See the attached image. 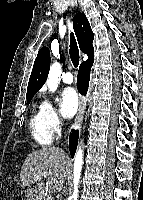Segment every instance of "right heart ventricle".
Masks as SVG:
<instances>
[{
	"label": "right heart ventricle",
	"mask_w": 143,
	"mask_h": 200,
	"mask_svg": "<svg viewBox=\"0 0 143 200\" xmlns=\"http://www.w3.org/2000/svg\"><path fill=\"white\" fill-rule=\"evenodd\" d=\"M29 126L34 140L39 145L48 146L52 143L53 136L46 128L41 107H38L33 111Z\"/></svg>",
	"instance_id": "1"
}]
</instances>
